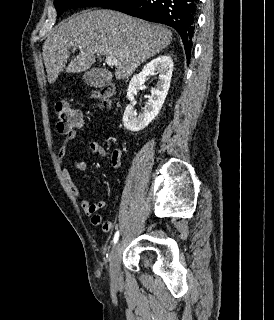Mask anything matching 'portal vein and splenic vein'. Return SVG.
Here are the masks:
<instances>
[{
	"label": "portal vein and splenic vein",
	"instance_id": "portal-vein-and-splenic-vein-1",
	"mask_svg": "<svg viewBox=\"0 0 274 320\" xmlns=\"http://www.w3.org/2000/svg\"><path fill=\"white\" fill-rule=\"evenodd\" d=\"M105 64H107V66H118V60L117 58H113V56H106Z\"/></svg>",
	"mask_w": 274,
	"mask_h": 320
}]
</instances>
